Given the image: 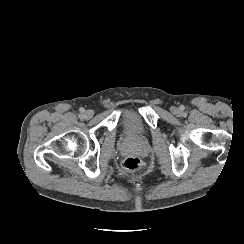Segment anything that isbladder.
I'll return each mask as SVG.
<instances>
[{"label": "bladder", "mask_w": 244, "mask_h": 244, "mask_svg": "<svg viewBox=\"0 0 244 244\" xmlns=\"http://www.w3.org/2000/svg\"><path fill=\"white\" fill-rule=\"evenodd\" d=\"M124 127L127 128V132L126 135H130L133 134L137 131L136 127H135V120L134 117L132 116H128L126 118V121L124 123Z\"/></svg>", "instance_id": "1"}]
</instances>
